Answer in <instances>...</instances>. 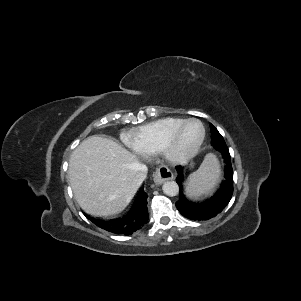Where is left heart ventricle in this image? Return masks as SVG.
Returning a JSON list of instances; mask_svg holds the SVG:
<instances>
[{
  "mask_svg": "<svg viewBox=\"0 0 301 301\" xmlns=\"http://www.w3.org/2000/svg\"><path fill=\"white\" fill-rule=\"evenodd\" d=\"M202 134V128L199 123L192 122L188 124L176 144V151L178 153H185L190 151L199 141Z\"/></svg>",
  "mask_w": 301,
  "mask_h": 301,
  "instance_id": "b2bd125f",
  "label": "left heart ventricle"
}]
</instances>
